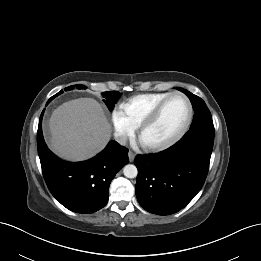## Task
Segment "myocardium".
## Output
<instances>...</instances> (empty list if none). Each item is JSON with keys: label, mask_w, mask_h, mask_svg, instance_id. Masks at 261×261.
<instances>
[{"label": "myocardium", "mask_w": 261, "mask_h": 261, "mask_svg": "<svg viewBox=\"0 0 261 261\" xmlns=\"http://www.w3.org/2000/svg\"><path fill=\"white\" fill-rule=\"evenodd\" d=\"M181 97L186 105H187V118L185 120L184 125L182 126V128L170 139L164 141V142H159V143H144L142 141V134L144 133V131L149 128L157 119V117L159 116L161 110L163 109V107L165 106V104L173 97ZM192 119H193V106L192 103L190 101V99L182 92L179 91H175V92H171L169 93L165 98H163L160 102H158L153 109L149 112V114L143 119V121L140 123V125L137 127V135L138 138L141 142V144L148 150H153V151H159V150H164L167 149L171 146H173L174 144H176L179 140H181L184 135L188 132L191 123H192Z\"/></svg>", "instance_id": "1"}]
</instances>
